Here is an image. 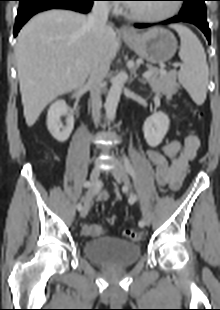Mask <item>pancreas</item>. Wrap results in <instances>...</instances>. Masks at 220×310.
I'll use <instances>...</instances> for the list:
<instances>
[{"label": "pancreas", "mask_w": 220, "mask_h": 310, "mask_svg": "<svg viewBox=\"0 0 220 310\" xmlns=\"http://www.w3.org/2000/svg\"><path fill=\"white\" fill-rule=\"evenodd\" d=\"M148 71L152 72V76L147 78V82L152 88V91L160 96L161 94L168 97L172 96L177 88L178 83L176 82L175 71H170L168 73H159L158 69L153 66H148Z\"/></svg>", "instance_id": "pancreas-1"}]
</instances>
